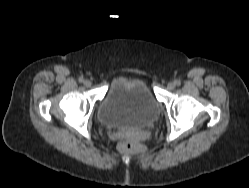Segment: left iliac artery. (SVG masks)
I'll return each instance as SVG.
<instances>
[{"instance_id": "left-iliac-artery-1", "label": "left iliac artery", "mask_w": 249, "mask_h": 188, "mask_svg": "<svg viewBox=\"0 0 249 188\" xmlns=\"http://www.w3.org/2000/svg\"><path fill=\"white\" fill-rule=\"evenodd\" d=\"M175 84H176L177 86H179V85L181 84V82H180L179 80H176V81H175Z\"/></svg>"}]
</instances>
